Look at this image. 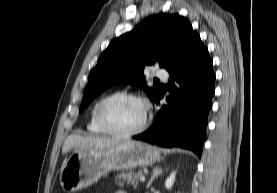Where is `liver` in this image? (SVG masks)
<instances>
[{
  "mask_svg": "<svg viewBox=\"0 0 277 193\" xmlns=\"http://www.w3.org/2000/svg\"><path fill=\"white\" fill-rule=\"evenodd\" d=\"M120 142H122V140L117 138H108L100 136H80L73 134L65 139L62 147V154H66L74 148L103 150L115 146Z\"/></svg>",
  "mask_w": 277,
  "mask_h": 193,
  "instance_id": "obj_1",
  "label": "liver"
}]
</instances>
